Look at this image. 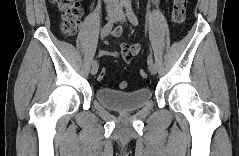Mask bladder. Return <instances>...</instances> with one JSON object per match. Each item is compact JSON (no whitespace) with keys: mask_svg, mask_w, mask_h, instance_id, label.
Returning a JSON list of instances; mask_svg holds the SVG:
<instances>
[{"mask_svg":"<svg viewBox=\"0 0 239 156\" xmlns=\"http://www.w3.org/2000/svg\"><path fill=\"white\" fill-rule=\"evenodd\" d=\"M95 98L108 109L117 112H128L143 108L150 102L152 93L149 88L123 92L113 88L100 87L95 91Z\"/></svg>","mask_w":239,"mask_h":156,"instance_id":"bladder-1","label":"bladder"}]
</instances>
